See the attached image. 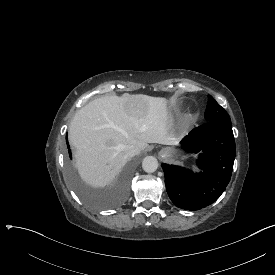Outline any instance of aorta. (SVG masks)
Wrapping results in <instances>:
<instances>
[{
	"mask_svg": "<svg viewBox=\"0 0 275 275\" xmlns=\"http://www.w3.org/2000/svg\"><path fill=\"white\" fill-rule=\"evenodd\" d=\"M142 167H143L144 171L147 173L155 172L158 168V161L153 156H146L143 159Z\"/></svg>",
	"mask_w": 275,
	"mask_h": 275,
	"instance_id": "obj_1",
	"label": "aorta"
}]
</instances>
